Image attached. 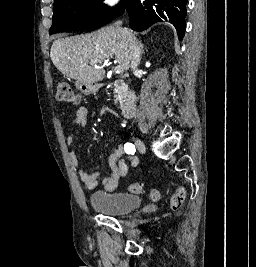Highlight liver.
Instances as JSON below:
<instances>
[{
  "mask_svg": "<svg viewBox=\"0 0 256 267\" xmlns=\"http://www.w3.org/2000/svg\"><path fill=\"white\" fill-rule=\"evenodd\" d=\"M133 40L136 38L132 32H129V36H123L115 26H105L92 34L55 40L50 58L57 70L67 78L79 80L84 84L101 82L105 76L101 64L113 56L121 68L129 70Z\"/></svg>",
  "mask_w": 256,
  "mask_h": 267,
  "instance_id": "6515ba94",
  "label": "liver"
}]
</instances>
